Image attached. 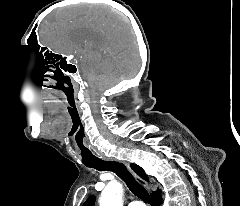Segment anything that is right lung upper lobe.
<instances>
[{"label":"right lung upper lobe","instance_id":"right-lung-upper-lobe-1","mask_svg":"<svg viewBox=\"0 0 240 206\" xmlns=\"http://www.w3.org/2000/svg\"><path fill=\"white\" fill-rule=\"evenodd\" d=\"M131 168L141 177L143 178L144 180L148 181V176L145 174L144 170L136 165V164H131ZM156 193L158 192H153L151 194V196L155 195ZM94 201H95V197L93 195H91L87 200L86 202L83 204V206H93L94 204Z\"/></svg>","mask_w":240,"mask_h":206}]
</instances>
